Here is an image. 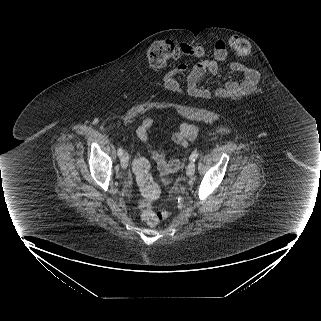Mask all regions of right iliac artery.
<instances>
[{
    "instance_id": "82829eb1",
    "label": "right iliac artery",
    "mask_w": 321,
    "mask_h": 321,
    "mask_svg": "<svg viewBox=\"0 0 321 321\" xmlns=\"http://www.w3.org/2000/svg\"><path fill=\"white\" fill-rule=\"evenodd\" d=\"M118 156L121 158L123 155V150L121 148H118V152H117Z\"/></svg>"
}]
</instances>
